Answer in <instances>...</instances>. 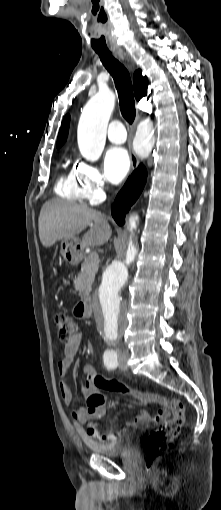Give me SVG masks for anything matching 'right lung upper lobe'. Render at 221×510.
<instances>
[{"mask_svg":"<svg viewBox=\"0 0 221 510\" xmlns=\"http://www.w3.org/2000/svg\"><path fill=\"white\" fill-rule=\"evenodd\" d=\"M134 94L137 100H140L142 97L147 95V87L148 80L146 77L142 76L141 70H137L134 73ZM70 116L67 115L62 123L60 128L58 138H57V147H61L62 144L66 141L69 129Z\"/></svg>","mask_w":221,"mask_h":510,"instance_id":"1","label":"right lung upper lobe"}]
</instances>
